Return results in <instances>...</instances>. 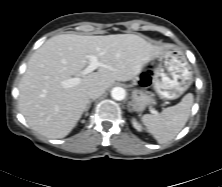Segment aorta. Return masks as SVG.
Returning <instances> with one entry per match:
<instances>
[{"label":"aorta","instance_id":"762f6f07","mask_svg":"<svg viewBox=\"0 0 222 187\" xmlns=\"http://www.w3.org/2000/svg\"><path fill=\"white\" fill-rule=\"evenodd\" d=\"M111 96L113 99L121 101L126 96V91L122 87H114L111 91Z\"/></svg>","mask_w":222,"mask_h":187}]
</instances>
